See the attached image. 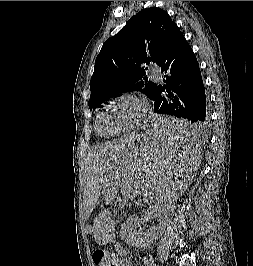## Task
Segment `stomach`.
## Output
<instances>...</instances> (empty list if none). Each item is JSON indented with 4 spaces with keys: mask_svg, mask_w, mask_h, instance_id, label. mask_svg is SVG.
Here are the masks:
<instances>
[{
    "mask_svg": "<svg viewBox=\"0 0 253 266\" xmlns=\"http://www.w3.org/2000/svg\"><path fill=\"white\" fill-rule=\"evenodd\" d=\"M150 139L146 135H140L134 137L129 143H127L123 149L115 156L111 158L106 164L107 172V186L111 192H117V186L122 184V177L129 176V171L125 163L127 160H139L137 158V151L143 150L144 145L149 144ZM106 179V178H105ZM95 238L97 235H93Z\"/></svg>",
    "mask_w": 253,
    "mask_h": 266,
    "instance_id": "0dacf381",
    "label": "stomach"
}]
</instances>
